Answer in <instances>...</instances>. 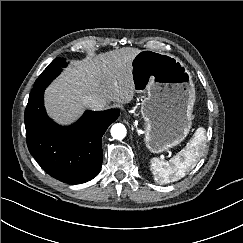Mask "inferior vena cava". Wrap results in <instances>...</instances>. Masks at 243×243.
<instances>
[{
  "instance_id": "1",
  "label": "inferior vena cava",
  "mask_w": 243,
  "mask_h": 243,
  "mask_svg": "<svg viewBox=\"0 0 243 243\" xmlns=\"http://www.w3.org/2000/svg\"><path fill=\"white\" fill-rule=\"evenodd\" d=\"M84 103L91 110H102L108 104L107 100L98 94L87 96L84 100Z\"/></svg>"
}]
</instances>
